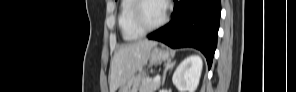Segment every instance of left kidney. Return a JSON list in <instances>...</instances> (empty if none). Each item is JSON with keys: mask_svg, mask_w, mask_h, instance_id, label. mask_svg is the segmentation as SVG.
Masks as SVG:
<instances>
[{"mask_svg": "<svg viewBox=\"0 0 296 92\" xmlns=\"http://www.w3.org/2000/svg\"><path fill=\"white\" fill-rule=\"evenodd\" d=\"M203 61L199 55L186 57L174 71L172 82L180 92H195L199 85Z\"/></svg>", "mask_w": 296, "mask_h": 92, "instance_id": "5707ae66", "label": "left kidney"}]
</instances>
